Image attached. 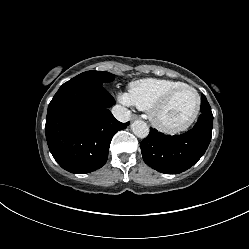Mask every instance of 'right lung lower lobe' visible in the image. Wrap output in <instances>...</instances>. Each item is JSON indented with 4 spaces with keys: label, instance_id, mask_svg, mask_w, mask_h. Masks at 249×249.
Here are the masks:
<instances>
[{
    "label": "right lung lower lobe",
    "instance_id": "right-lung-lower-lobe-1",
    "mask_svg": "<svg viewBox=\"0 0 249 249\" xmlns=\"http://www.w3.org/2000/svg\"><path fill=\"white\" fill-rule=\"evenodd\" d=\"M114 98L102 85L85 79L64 83L48 106L45 134L57 163L72 173H89L108 158L114 134L126 128L109 107Z\"/></svg>",
    "mask_w": 249,
    "mask_h": 249
}]
</instances>
